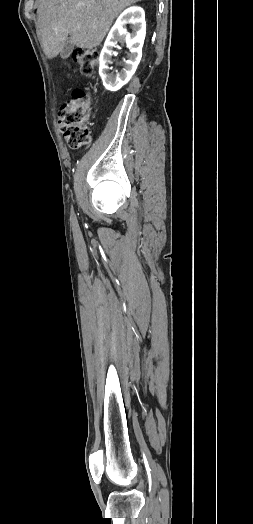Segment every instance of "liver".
Segmentation results:
<instances>
[{
    "mask_svg": "<svg viewBox=\"0 0 253 524\" xmlns=\"http://www.w3.org/2000/svg\"><path fill=\"white\" fill-rule=\"evenodd\" d=\"M140 1L39 0L37 26L45 55L56 57L68 38L82 49L99 46L118 14Z\"/></svg>",
    "mask_w": 253,
    "mask_h": 524,
    "instance_id": "obj_1",
    "label": "liver"
}]
</instances>
